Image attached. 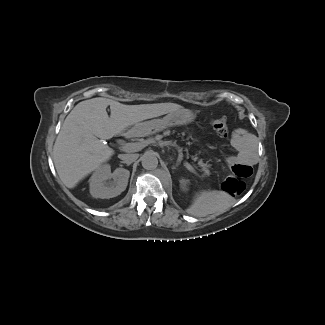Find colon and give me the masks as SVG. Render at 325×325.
<instances>
[{
  "mask_svg": "<svg viewBox=\"0 0 325 325\" xmlns=\"http://www.w3.org/2000/svg\"><path fill=\"white\" fill-rule=\"evenodd\" d=\"M215 132L222 138L228 135V127L223 119H216L212 122ZM252 174V168L248 165L237 164L232 169V174L222 183V189L231 195H238L245 189V179Z\"/></svg>",
  "mask_w": 325,
  "mask_h": 325,
  "instance_id": "5ec220e1",
  "label": "colon"
}]
</instances>
